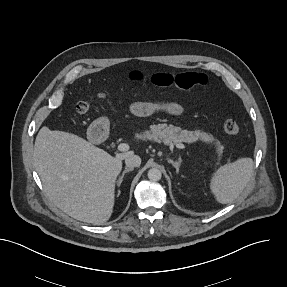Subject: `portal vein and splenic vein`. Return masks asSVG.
Instances as JSON below:
<instances>
[{
    "label": "portal vein and splenic vein",
    "instance_id": "1",
    "mask_svg": "<svg viewBox=\"0 0 287 287\" xmlns=\"http://www.w3.org/2000/svg\"><path fill=\"white\" fill-rule=\"evenodd\" d=\"M175 146H176L177 148H179V149H185V145L182 144V143H176ZM117 148H118L119 151L124 152V151H128L129 145L126 144V143H121V144L118 145Z\"/></svg>",
    "mask_w": 287,
    "mask_h": 287
}]
</instances>
